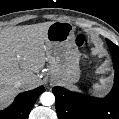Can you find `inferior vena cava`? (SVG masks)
I'll return each mask as SVG.
<instances>
[{
	"mask_svg": "<svg viewBox=\"0 0 119 119\" xmlns=\"http://www.w3.org/2000/svg\"><path fill=\"white\" fill-rule=\"evenodd\" d=\"M27 82H28V78H20L19 80H17V81L15 82L14 85H15L16 87H20V86L25 85Z\"/></svg>",
	"mask_w": 119,
	"mask_h": 119,
	"instance_id": "602c4592",
	"label": "inferior vena cava"
}]
</instances>
